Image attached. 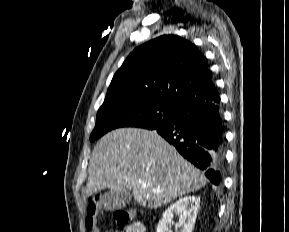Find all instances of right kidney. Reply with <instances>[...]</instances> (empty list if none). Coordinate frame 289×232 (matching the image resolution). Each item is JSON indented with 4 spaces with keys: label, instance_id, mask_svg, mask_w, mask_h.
<instances>
[{
    "label": "right kidney",
    "instance_id": "right-kidney-1",
    "mask_svg": "<svg viewBox=\"0 0 289 232\" xmlns=\"http://www.w3.org/2000/svg\"><path fill=\"white\" fill-rule=\"evenodd\" d=\"M200 207V197L188 196L170 205L163 213L156 232H172L173 218L179 217L175 227L177 232H192Z\"/></svg>",
    "mask_w": 289,
    "mask_h": 232
}]
</instances>
